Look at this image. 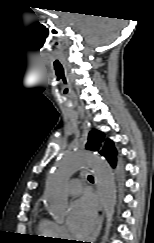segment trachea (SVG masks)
<instances>
[{"label":"trachea","instance_id":"3493384b","mask_svg":"<svg viewBox=\"0 0 154 243\" xmlns=\"http://www.w3.org/2000/svg\"><path fill=\"white\" fill-rule=\"evenodd\" d=\"M88 180H89L90 182H93V177H92L91 175H89V176H88Z\"/></svg>","mask_w":154,"mask_h":243}]
</instances>
